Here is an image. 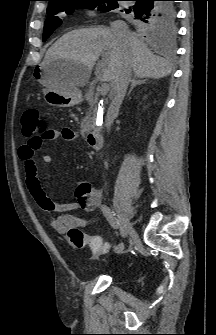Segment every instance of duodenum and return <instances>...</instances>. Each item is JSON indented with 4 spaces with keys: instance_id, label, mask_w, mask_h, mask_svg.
<instances>
[{
    "instance_id": "410a0bca",
    "label": "duodenum",
    "mask_w": 216,
    "mask_h": 335,
    "mask_svg": "<svg viewBox=\"0 0 216 335\" xmlns=\"http://www.w3.org/2000/svg\"><path fill=\"white\" fill-rule=\"evenodd\" d=\"M87 142L92 149L99 150L102 147V137L98 130H91L87 134Z\"/></svg>"
}]
</instances>
